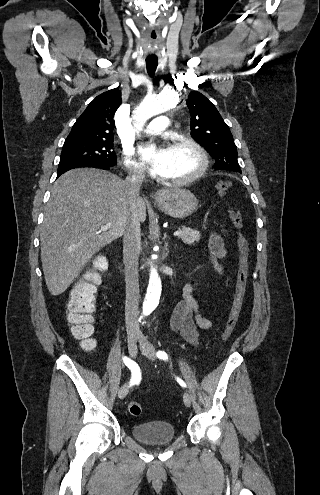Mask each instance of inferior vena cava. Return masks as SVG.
<instances>
[{"instance_id":"inferior-vena-cava-1","label":"inferior vena cava","mask_w":320,"mask_h":495,"mask_svg":"<svg viewBox=\"0 0 320 495\" xmlns=\"http://www.w3.org/2000/svg\"><path fill=\"white\" fill-rule=\"evenodd\" d=\"M144 179L143 171L135 168L129 171L124 185L130 203L134 202L139 195V190ZM141 242L140 221L136 212L130 208L128 224L124 232V264L126 282L125 319L128 331L139 332L138 305H139V282L138 261L139 245Z\"/></svg>"}]
</instances>
